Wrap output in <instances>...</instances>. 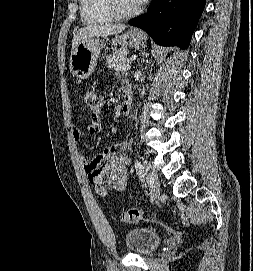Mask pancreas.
Wrapping results in <instances>:
<instances>
[{"instance_id":"pancreas-1","label":"pancreas","mask_w":253,"mask_h":271,"mask_svg":"<svg viewBox=\"0 0 253 271\" xmlns=\"http://www.w3.org/2000/svg\"><path fill=\"white\" fill-rule=\"evenodd\" d=\"M126 55L127 52H125L124 50H116L113 54L106 58V65L110 69L120 71L121 69L119 68V66L127 63V59L125 57Z\"/></svg>"}]
</instances>
